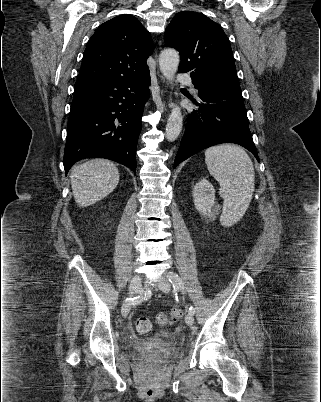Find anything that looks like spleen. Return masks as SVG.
I'll return each mask as SVG.
<instances>
[{
    "mask_svg": "<svg viewBox=\"0 0 321 402\" xmlns=\"http://www.w3.org/2000/svg\"><path fill=\"white\" fill-rule=\"evenodd\" d=\"M205 163L220 184L219 193L224 199L221 222L230 226L244 215L251 202L255 183L253 163L241 147L232 144L206 149Z\"/></svg>",
    "mask_w": 321,
    "mask_h": 402,
    "instance_id": "1",
    "label": "spleen"
}]
</instances>
